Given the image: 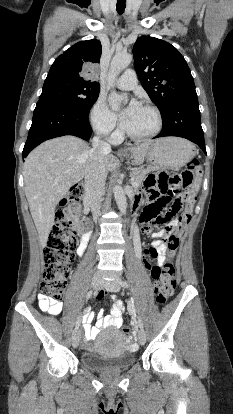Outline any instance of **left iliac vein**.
<instances>
[{
  "instance_id": "1",
  "label": "left iliac vein",
  "mask_w": 233,
  "mask_h": 414,
  "mask_svg": "<svg viewBox=\"0 0 233 414\" xmlns=\"http://www.w3.org/2000/svg\"><path fill=\"white\" fill-rule=\"evenodd\" d=\"M103 286L111 292H118L120 290V280L116 279L113 281H105L103 282ZM138 342L143 345L146 342V334L143 329H140L137 334Z\"/></svg>"
}]
</instances>
